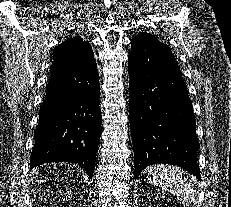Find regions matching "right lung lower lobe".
I'll return each mask as SVG.
<instances>
[{"label": "right lung lower lobe", "instance_id": "98d812e1", "mask_svg": "<svg viewBox=\"0 0 231 207\" xmlns=\"http://www.w3.org/2000/svg\"><path fill=\"white\" fill-rule=\"evenodd\" d=\"M39 110L31 169L48 162L80 165L93 176L101 133L99 74L94 57L73 70L51 66Z\"/></svg>", "mask_w": 231, "mask_h": 207}]
</instances>
